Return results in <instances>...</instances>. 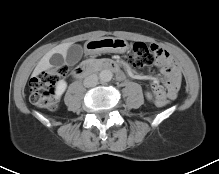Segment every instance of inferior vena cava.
<instances>
[{
  "label": "inferior vena cava",
  "instance_id": "602c4592",
  "mask_svg": "<svg viewBox=\"0 0 219 174\" xmlns=\"http://www.w3.org/2000/svg\"><path fill=\"white\" fill-rule=\"evenodd\" d=\"M83 83L85 87H94L98 83V76L96 74H91L84 79Z\"/></svg>",
  "mask_w": 219,
  "mask_h": 174
}]
</instances>
